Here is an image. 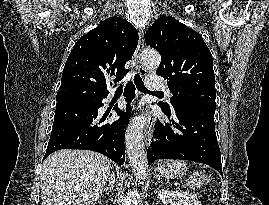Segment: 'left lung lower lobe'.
Wrapping results in <instances>:
<instances>
[{
	"label": "left lung lower lobe",
	"mask_w": 269,
	"mask_h": 205,
	"mask_svg": "<svg viewBox=\"0 0 269 205\" xmlns=\"http://www.w3.org/2000/svg\"><path fill=\"white\" fill-rule=\"evenodd\" d=\"M162 108V107H161ZM216 105L197 103L174 108H162L170 124L156 123L154 137L147 150L148 164L158 159H181L204 163L222 176L221 155L214 125Z\"/></svg>",
	"instance_id": "0a47b994"
}]
</instances>
